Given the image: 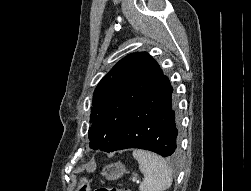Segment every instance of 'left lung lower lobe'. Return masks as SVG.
Segmentation results:
<instances>
[{
  "label": "left lung lower lobe",
  "instance_id": "0a47b994",
  "mask_svg": "<svg viewBox=\"0 0 251 191\" xmlns=\"http://www.w3.org/2000/svg\"><path fill=\"white\" fill-rule=\"evenodd\" d=\"M173 88L163 74L137 103L108 152L128 148L153 151L163 157L179 151Z\"/></svg>",
  "mask_w": 251,
  "mask_h": 191
}]
</instances>
